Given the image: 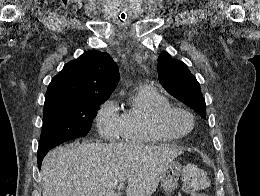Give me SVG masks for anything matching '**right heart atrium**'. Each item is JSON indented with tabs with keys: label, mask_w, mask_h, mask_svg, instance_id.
I'll use <instances>...</instances> for the list:
<instances>
[{
	"label": "right heart atrium",
	"mask_w": 260,
	"mask_h": 196,
	"mask_svg": "<svg viewBox=\"0 0 260 196\" xmlns=\"http://www.w3.org/2000/svg\"><path fill=\"white\" fill-rule=\"evenodd\" d=\"M95 122L98 132L103 138L101 143H108V140H110L115 132L122 126L121 117L112 100H106L100 105L96 113ZM144 191L145 190H127V192Z\"/></svg>",
	"instance_id": "d8ad5b80"
}]
</instances>
